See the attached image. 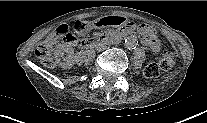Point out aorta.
Here are the masks:
<instances>
[{"label": "aorta", "mask_w": 207, "mask_h": 123, "mask_svg": "<svg viewBox=\"0 0 207 123\" xmlns=\"http://www.w3.org/2000/svg\"><path fill=\"white\" fill-rule=\"evenodd\" d=\"M137 43V38L134 35H130L125 38V46L128 49H133L134 47H136Z\"/></svg>", "instance_id": "1"}]
</instances>
